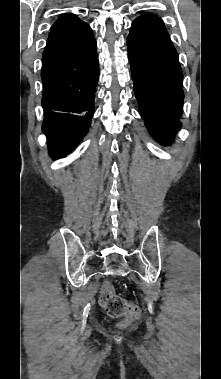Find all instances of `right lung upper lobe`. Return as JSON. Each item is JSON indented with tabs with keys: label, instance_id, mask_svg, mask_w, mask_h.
I'll return each instance as SVG.
<instances>
[{
	"label": "right lung upper lobe",
	"instance_id": "cb5924a9",
	"mask_svg": "<svg viewBox=\"0 0 221 379\" xmlns=\"http://www.w3.org/2000/svg\"><path fill=\"white\" fill-rule=\"evenodd\" d=\"M84 23L85 22L81 21L77 16L71 13L62 15L52 26L47 42L75 31Z\"/></svg>",
	"mask_w": 221,
	"mask_h": 379
}]
</instances>
